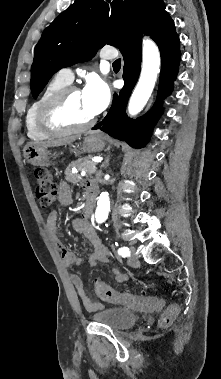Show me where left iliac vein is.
<instances>
[{
  "label": "left iliac vein",
  "instance_id": "obj_1",
  "mask_svg": "<svg viewBox=\"0 0 221 379\" xmlns=\"http://www.w3.org/2000/svg\"><path fill=\"white\" fill-rule=\"evenodd\" d=\"M130 251L132 252V253H135V251H136V249H135V247H130ZM128 264L130 265V266H132V267H138L139 266V261L137 260V258L136 257H129L128 258Z\"/></svg>",
  "mask_w": 221,
  "mask_h": 379
}]
</instances>
